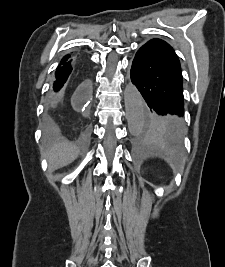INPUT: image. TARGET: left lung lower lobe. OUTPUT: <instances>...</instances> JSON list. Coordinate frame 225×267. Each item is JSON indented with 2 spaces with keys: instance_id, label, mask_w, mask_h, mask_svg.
Returning <instances> with one entry per match:
<instances>
[{
  "instance_id": "obj_1",
  "label": "left lung lower lobe",
  "mask_w": 225,
  "mask_h": 267,
  "mask_svg": "<svg viewBox=\"0 0 225 267\" xmlns=\"http://www.w3.org/2000/svg\"><path fill=\"white\" fill-rule=\"evenodd\" d=\"M130 77L142 95L146 109L168 119L173 131L183 134V79L173 48L161 39H152L136 53Z\"/></svg>"
}]
</instances>
